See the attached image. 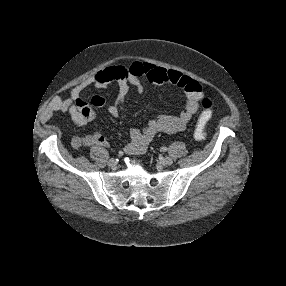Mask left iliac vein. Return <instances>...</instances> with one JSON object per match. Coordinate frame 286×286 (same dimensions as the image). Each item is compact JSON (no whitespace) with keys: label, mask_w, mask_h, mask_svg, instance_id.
I'll return each instance as SVG.
<instances>
[{"label":"left iliac vein","mask_w":286,"mask_h":286,"mask_svg":"<svg viewBox=\"0 0 286 286\" xmlns=\"http://www.w3.org/2000/svg\"><path fill=\"white\" fill-rule=\"evenodd\" d=\"M163 163L165 164V165H172L173 164V159L171 158V157H165L164 159H163Z\"/></svg>","instance_id":"left-iliac-vein-1"}]
</instances>
